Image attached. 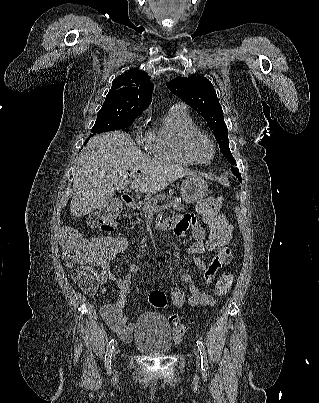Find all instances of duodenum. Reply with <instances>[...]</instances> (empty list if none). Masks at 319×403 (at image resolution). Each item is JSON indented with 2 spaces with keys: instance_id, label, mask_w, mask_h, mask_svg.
<instances>
[{
  "instance_id": "duodenum-1",
  "label": "duodenum",
  "mask_w": 319,
  "mask_h": 403,
  "mask_svg": "<svg viewBox=\"0 0 319 403\" xmlns=\"http://www.w3.org/2000/svg\"><path fill=\"white\" fill-rule=\"evenodd\" d=\"M122 200L125 205L130 209H137L140 206L139 201L135 198L133 193H125L122 196ZM173 220L172 218L164 220L160 225L159 229L162 231H167L173 229Z\"/></svg>"
}]
</instances>
